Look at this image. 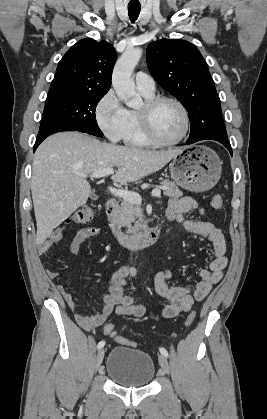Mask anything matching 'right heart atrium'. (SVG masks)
<instances>
[{"label": "right heart atrium", "mask_w": 267, "mask_h": 419, "mask_svg": "<svg viewBox=\"0 0 267 419\" xmlns=\"http://www.w3.org/2000/svg\"><path fill=\"white\" fill-rule=\"evenodd\" d=\"M98 127L111 141L123 139L127 127V109L113 90L106 92L95 107Z\"/></svg>", "instance_id": "1"}]
</instances>
